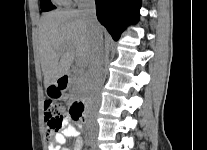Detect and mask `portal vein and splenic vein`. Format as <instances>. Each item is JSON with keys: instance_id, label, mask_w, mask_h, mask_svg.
<instances>
[{"instance_id": "portal-vein-and-splenic-vein-1", "label": "portal vein and splenic vein", "mask_w": 207, "mask_h": 150, "mask_svg": "<svg viewBox=\"0 0 207 150\" xmlns=\"http://www.w3.org/2000/svg\"><path fill=\"white\" fill-rule=\"evenodd\" d=\"M78 65L81 66V67H84L86 64H85V61L83 60H78L77 61Z\"/></svg>"}]
</instances>
